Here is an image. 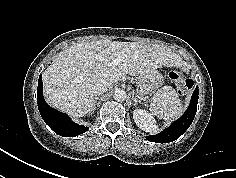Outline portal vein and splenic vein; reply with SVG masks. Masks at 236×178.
<instances>
[{
    "label": "portal vein and splenic vein",
    "mask_w": 236,
    "mask_h": 178,
    "mask_svg": "<svg viewBox=\"0 0 236 178\" xmlns=\"http://www.w3.org/2000/svg\"><path fill=\"white\" fill-rule=\"evenodd\" d=\"M123 62V58L121 56L117 57L113 62L110 63V66H117Z\"/></svg>",
    "instance_id": "portal-vein-and-splenic-vein-1"
}]
</instances>
